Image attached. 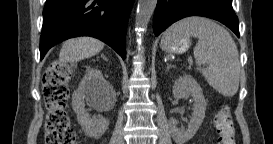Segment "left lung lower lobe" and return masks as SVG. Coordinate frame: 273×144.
<instances>
[{
	"label": "left lung lower lobe",
	"mask_w": 273,
	"mask_h": 144,
	"mask_svg": "<svg viewBox=\"0 0 273 144\" xmlns=\"http://www.w3.org/2000/svg\"><path fill=\"white\" fill-rule=\"evenodd\" d=\"M192 15L218 20L239 37L238 18L232 0H158L153 20L155 35L179 19Z\"/></svg>",
	"instance_id": "left-lung-lower-lobe-1"
}]
</instances>
